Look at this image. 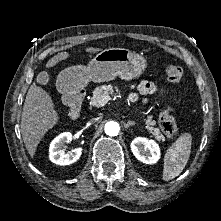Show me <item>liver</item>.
Returning a JSON list of instances; mask_svg holds the SVG:
<instances>
[{
	"instance_id": "1",
	"label": "liver",
	"mask_w": 221,
	"mask_h": 221,
	"mask_svg": "<svg viewBox=\"0 0 221 221\" xmlns=\"http://www.w3.org/2000/svg\"><path fill=\"white\" fill-rule=\"evenodd\" d=\"M87 53L103 51L99 48H86ZM68 52H61L53 56L46 64V68L55 66L69 57ZM38 77V76H37ZM59 121V115L49 93L32 83L23 106L21 116V134L25 147L31 157L35 155L38 144L43 136Z\"/></svg>"
}]
</instances>
